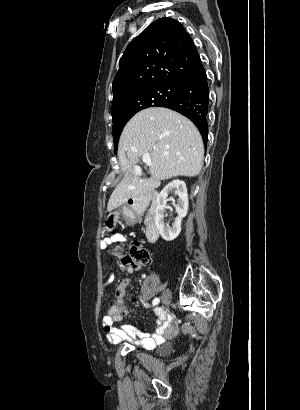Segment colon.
I'll return each mask as SVG.
<instances>
[{
    "label": "colon",
    "instance_id": "5ec220e1",
    "mask_svg": "<svg viewBox=\"0 0 300 410\" xmlns=\"http://www.w3.org/2000/svg\"><path fill=\"white\" fill-rule=\"evenodd\" d=\"M150 261V253L147 247L139 240H134L127 253L118 256L117 265L122 270H133L144 265Z\"/></svg>",
    "mask_w": 300,
    "mask_h": 410
}]
</instances>
